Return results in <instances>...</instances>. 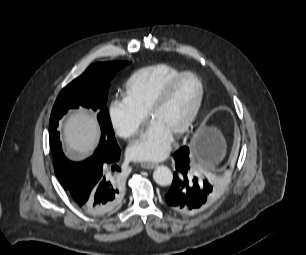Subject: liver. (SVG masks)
Returning a JSON list of instances; mask_svg holds the SVG:
<instances>
[{
    "instance_id": "6515ba94",
    "label": "liver",
    "mask_w": 306,
    "mask_h": 255,
    "mask_svg": "<svg viewBox=\"0 0 306 255\" xmlns=\"http://www.w3.org/2000/svg\"><path fill=\"white\" fill-rule=\"evenodd\" d=\"M64 139L75 154L74 160L90 155L99 139V127L95 116L86 110L71 114L64 125Z\"/></svg>"
}]
</instances>
